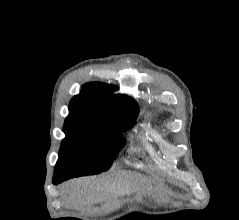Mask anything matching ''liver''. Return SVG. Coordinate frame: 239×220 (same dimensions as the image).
Masks as SVG:
<instances>
[{"instance_id": "obj_1", "label": "liver", "mask_w": 239, "mask_h": 220, "mask_svg": "<svg viewBox=\"0 0 239 220\" xmlns=\"http://www.w3.org/2000/svg\"><path fill=\"white\" fill-rule=\"evenodd\" d=\"M139 179V175L130 171H123L116 178H79L63 185L62 196L63 200L71 206H86L120 194Z\"/></svg>"}]
</instances>
